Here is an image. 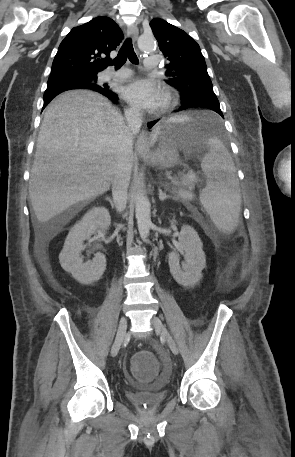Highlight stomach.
<instances>
[{
  "label": "stomach",
  "mask_w": 295,
  "mask_h": 457,
  "mask_svg": "<svg viewBox=\"0 0 295 457\" xmlns=\"http://www.w3.org/2000/svg\"><path fill=\"white\" fill-rule=\"evenodd\" d=\"M209 125L200 119L188 117L177 122H166L151 134V142L157 148L143 155L145 161L154 167L170 168L179 163V150L194 146L200 152L209 150Z\"/></svg>",
  "instance_id": "obj_1"
}]
</instances>
